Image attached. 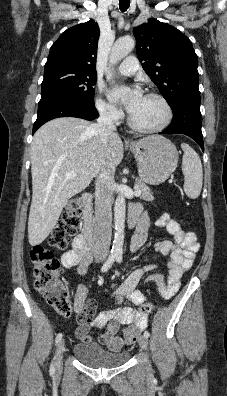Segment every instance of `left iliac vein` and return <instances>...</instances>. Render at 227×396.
<instances>
[{"label": "left iliac vein", "instance_id": "4c4485c4", "mask_svg": "<svg viewBox=\"0 0 227 396\" xmlns=\"http://www.w3.org/2000/svg\"><path fill=\"white\" fill-rule=\"evenodd\" d=\"M139 345L143 350H146L148 347V338L144 335L140 336L139 338Z\"/></svg>", "mask_w": 227, "mask_h": 396}]
</instances>
